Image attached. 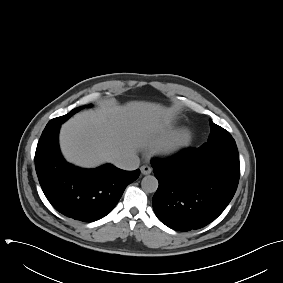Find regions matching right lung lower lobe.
Masks as SVG:
<instances>
[{"label":"right lung lower lobe","mask_w":283,"mask_h":283,"mask_svg":"<svg viewBox=\"0 0 283 283\" xmlns=\"http://www.w3.org/2000/svg\"><path fill=\"white\" fill-rule=\"evenodd\" d=\"M60 125L44 129L37 145L35 168L42 190L61 214L83 222L99 220L115 207L140 171L109 164L87 170L67 163L58 145Z\"/></svg>","instance_id":"98d812e1"}]
</instances>
